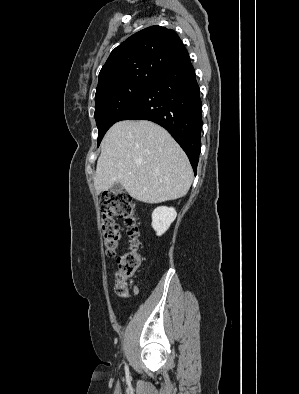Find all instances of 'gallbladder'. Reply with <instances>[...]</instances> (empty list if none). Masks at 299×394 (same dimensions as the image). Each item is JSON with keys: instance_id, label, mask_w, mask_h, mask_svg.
<instances>
[{"instance_id": "gallbladder-1", "label": "gallbladder", "mask_w": 299, "mask_h": 394, "mask_svg": "<svg viewBox=\"0 0 299 394\" xmlns=\"http://www.w3.org/2000/svg\"><path fill=\"white\" fill-rule=\"evenodd\" d=\"M114 192H121L123 190V186L120 183H116L111 187Z\"/></svg>"}]
</instances>
